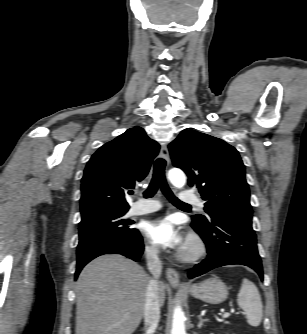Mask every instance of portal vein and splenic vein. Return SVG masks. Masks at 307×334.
<instances>
[{"mask_svg":"<svg viewBox=\"0 0 307 334\" xmlns=\"http://www.w3.org/2000/svg\"><path fill=\"white\" fill-rule=\"evenodd\" d=\"M230 315V313H225L222 317L227 318Z\"/></svg>","mask_w":307,"mask_h":334,"instance_id":"portal-vein-and-splenic-vein-1","label":"portal vein and splenic vein"}]
</instances>
